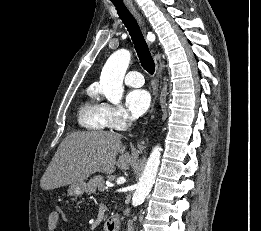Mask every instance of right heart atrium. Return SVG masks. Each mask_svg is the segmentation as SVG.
<instances>
[{
	"instance_id": "obj_1",
	"label": "right heart atrium",
	"mask_w": 261,
	"mask_h": 231,
	"mask_svg": "<svg viewBox=\"0 0 261 231\" xmlns=\"http://www.w3.org/2000/svg\"><path fill=\"white\" fill-rule=\"evenodd\" d=\"M102 106L108 128L121 131L129 126L132 121V116L123 106L110 103H103Z\"/></svg>"
}]
</instances>
